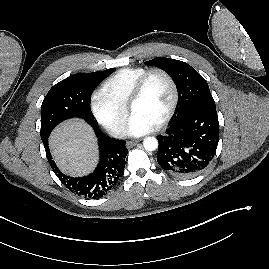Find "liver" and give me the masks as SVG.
<instances>
[{
	"mask_svg": "<svg viewBox=\"0 0 269 269\" xmlns=\"http://www.w3.org/2000/svg\"><path fill=\"white\" fill-rule=\"evenodd\" d=\"M50 148L59 168L72 176L90 173L97 163L92 128L80 119L59 125L50 136Z\"/></svg>",
	"mask_w": 269,
	"mask_h": 269,
	"instance_id": "1",
	"label": "liver"
}]
</instances>
